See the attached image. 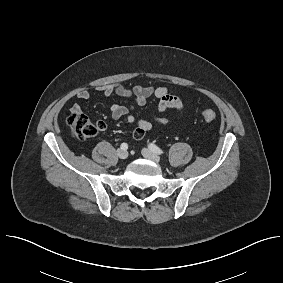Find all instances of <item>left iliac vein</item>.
I'll list each match as a JSON object with an SVG mask.
<instances>
[{"instance_id": "left-iliac-vein-1", "label": "left iliac vein", "mask_w": 283, "mask_h": 283, "mask_svg": "<svg viewBox=\"0 0 283 283\" xmlns=\"http://www.w3.org/2000/svg\"><path fill=\"white\" fill-rule=\"evenodd\" d=\"M142 155L146 158L149 159L153 162L159 163L160 162V157L156 154H154L152 151H150L147 148L142 149Z\"/></svg>"}]
</instances>
